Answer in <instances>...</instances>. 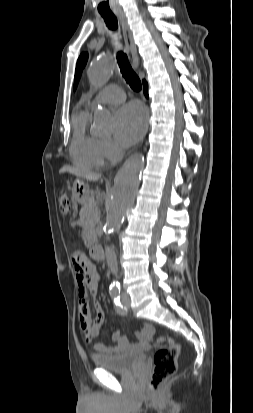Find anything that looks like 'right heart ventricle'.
Here are the masks:
<instances>
[{
	"label": "right heart ventricle",
	"instance_id": "obj_1",
	"mask_svg": "<svg viewBox=\"0 0 253 413\" xmlns=\"http://www.w3.org/2000/svg\"><path fill=\"white\" fill-rule=\"evenodd\" d=\"M89 120L90 112L87 109L74 116L70 155L77 165L99 168L104 164L106 157L101 146L102 139L88 129Z\"/></svg>",
	"mask_w": 253,
	"mask_h": 413
}]
</instances>
